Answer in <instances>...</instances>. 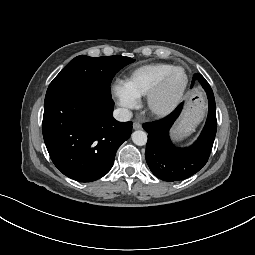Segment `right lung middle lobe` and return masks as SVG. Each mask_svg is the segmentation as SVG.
<instances>
[{"label": "right lung middle lobe", "instance_id": "right-lung-middle-lobe-1", "mask_svg": "<svg viewBox=\"0 0 255 255\" xmlns=\"http://www.w3.org/2000/svg\"><path fill=\"white\" fill-rule=\"evenodd\" d=\"M130 57L113 55L108 57H75L54 78L48 88L66 85H84L96 88L111 96L110 84L115 74L124 66L134 62Z\"/></svg>", "mask_w": 255, "mask_h": 255}]
</instances>
